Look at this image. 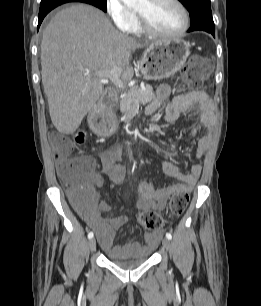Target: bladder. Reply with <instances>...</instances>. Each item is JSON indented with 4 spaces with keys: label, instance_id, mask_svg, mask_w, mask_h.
Wrapping results in <instances>:
<instances>
[{
    "label": "bladder",
    "instance_id": "bladder-1",
    "mask_svg": "<svg viewBox=\"0 0 261 306\" xmlns=\"http://www.w3.org/2000/svg\"><path fill=\"white\" fill-rule=\"evenodd\" d=\"M150 258V252L141 251L137 254L125 253L121 256L107 255V259L113 265L122 269H133L146 263Z\"/></svg>",
    "mask_w": 261,
    "mask_h": 306
}]
</instances>
